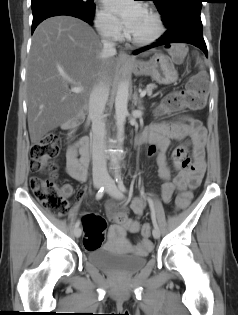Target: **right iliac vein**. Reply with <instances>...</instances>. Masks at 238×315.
Instances as JSON below:
<instances>
[{
  "label": "right iliac vein",
  "instance_id": "right-iliac-vein-1",
  "mask_svg": "<svg viewBox=\"0 0 238 315\" xmlns=\"http://www.w3.org/2000/svg\"><path fill=\"white\" fill-rule=\"evenodd\" d=\"M104 185V180L103 179H96L94 180V187L95 188H100ZM82 233V229L80 227H76L74 230V235L75 237H80Z\"/></svg>",
  "mask_w": 238,
  "mask_h": 315
}]
</instances>
